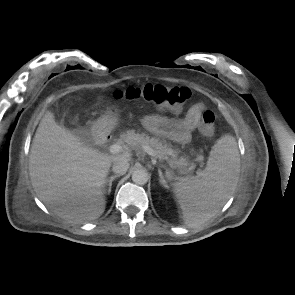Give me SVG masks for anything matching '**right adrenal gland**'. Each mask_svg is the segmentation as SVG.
<instances>
[{"instance_id":"right-adrenal-gland-1","label":"right adrenal gland","mask_w":295,"mask_h":295,"mask_svg":"<svg viewBox=\"0 0 295 295\" xmlns=\"http://www.w3.org/2000/svg\"><path fill=\"white\" fill-rule=\"evenodd\" d=\"M119 176H120V175H113V176L109 177V178L106 180V183H105V185L103 186V191H104V193H108V194L111 193L112 182H113L116 178H118ZM107 186H109L108 189H107Z\"/></svg>"}]
</instances>
